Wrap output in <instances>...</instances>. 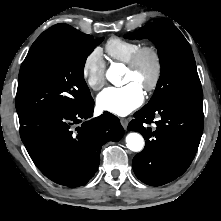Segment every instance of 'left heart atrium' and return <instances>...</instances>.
Here are the masks:
<instances>
[{"instance_id":"obj_1","label":"left heart atrium","mask_w":221,"mask_h":221,"mask_svg":"<svg viewBox=\"0 0 221 221\" xmlns=\"http://www.w3.org/2000/svg\"><path fill=\"white\" fill-rule=\"evenodd\" d=\"M144 100V92L137 82H129L120 87H108L97 96L99 109L125 116L138 108Z\"/></svg>"}]
</instances>
